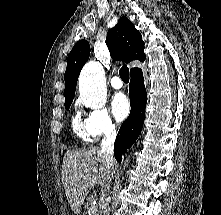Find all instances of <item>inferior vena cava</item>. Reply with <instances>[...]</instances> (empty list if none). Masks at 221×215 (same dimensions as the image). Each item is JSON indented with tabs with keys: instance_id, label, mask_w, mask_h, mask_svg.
<instances>
[{
	"instance_id": "obj_1",
	"label": "inferior vena cava",
	"mask_w": 221,
	"mask_h": 215,
	"mask_svg": "<svg viewBox=\"0 0 221 215\" xmlns=\"http://www.w3.org/2000/svg\"><path fill=\"white\" fill-rule=\"evenodd\" d=\"M116 138V129L109 128L105 132V136L101 143V153L103 154L104 159L112 165L113 163V149L114 142ZM110 186L108 185L106 190L103 193V199L100 206V215H110V207L107 201V196L109 193Z\"/></svg>"
}]
</instances>
